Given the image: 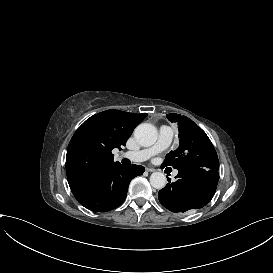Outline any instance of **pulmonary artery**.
Here are the masks:
<instances>
[{
	"label": "pulmonary artery",
	"mask_w": 273,
	"mask_h": 273,
	"mask_svg": "<svg viewBox=\"0 0 273 273\" xmlns=\"http://www.w3.org/2000/svg\"><path fill=\"white\" fill-rule=\"evenodd\" d=\"M161 134L163 135L162 139H159L157 141V146L153 147L151 150L146 151V150H136V151H131L130 153L128 151H122L119 154V159L121 161H126L129 158L131 160H136V159H146L149 157L154 156L158 152H161L164 150L166 147L170 146L172 142L176 139V132L174 130H171L169 127H163L161 129ZM177 174V171L173 172V175L175 176Z\"/></svg>",
	"instance_id": "e3ab8cb5"
}]
</instances>
